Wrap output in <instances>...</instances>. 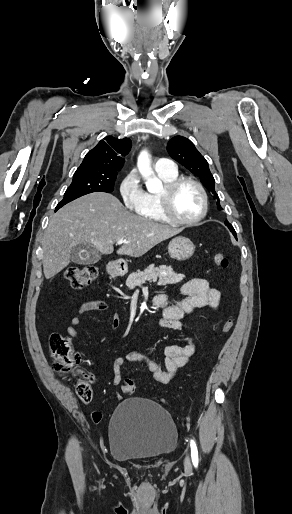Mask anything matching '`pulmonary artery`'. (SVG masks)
Masks as SVG:
<instances>
[{
	"instance_id": "pulmonary-artery-1",
	"label": "pulmonary artery",
	"mask_w": 292,
	"mask_h": 514,
	"mask_svg": "<svg viewBox=\"0 0 292 514\" xmlns=\"http://www.w3.org/2000/svg\"><path fill=\"white\" fill-rule=\"evenodd\" d=\"M157 171L161 174L173 176L178 170L171 156H162L157 164Z\"/></svg>"
}]
</instances>
